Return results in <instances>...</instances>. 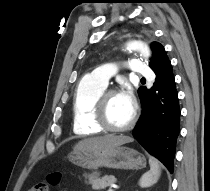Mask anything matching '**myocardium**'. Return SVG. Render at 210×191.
<instances>
[{
  "instance_id": "obj_1",
  "label": "myocardium",
  "mask_w": 210,
  "mask_h": 191,
  "mask_svg": "<svg viewBox=\"0 0 210 191\" xmlns=\"http://www.w3.org/2000/svg\"><path fill=\"white\" fill-rule=\"evenodd\" d=\"M118 94L115 89L104 90L96 99L93 108V121L103 131L111 133H120L130 130L137 119V109L133 105L132 115L129 122L122 127L111 126L107 118V100L110 96Z\"/></svg>"
}]
</instances>
